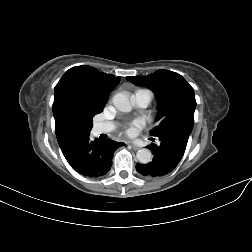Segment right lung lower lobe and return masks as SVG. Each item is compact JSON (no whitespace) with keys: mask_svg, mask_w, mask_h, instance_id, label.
I'll return each mask as SVG.
<instances>
[{"mask_svg":"<svg viewBox=\"0 0 252 252\" xmlns=\"http://www.w3.org/2000/svg\"><path fill=\"white\" fill-rule=\"evenodd\" d=\"M109 139L90 141L89 134H83L61 148L70 166L83 176L97 178L105 175L112 166L114 151L123 146Z\"/></svg>","mask_w":252,"mask_h":252,"instance_id":"obj_1","label":"right lung lower lobe"}]
</instances>
